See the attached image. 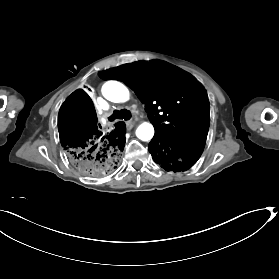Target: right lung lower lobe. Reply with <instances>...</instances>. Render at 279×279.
<instances>
[{
	"instance_id": "right-lung-lower-lobe-1",
	"label": "right lung lower lobe",
	"mask_w": 279,
	"mask_h": 279,
	"mask_svg": "<svg viewBox=\"0 0 279 279\" xmlns=\"http://www.w3.org/2000/svg\"><path fill=\"white\" fill-rule=\"evenodd\" d=\"M97 121L92 100L82 90L69 95L60 107L59 137L71 165L81 173L100 177L118 167L125 134L122 123H115L106 133Z\"/></svg>"
}]
</instances>
